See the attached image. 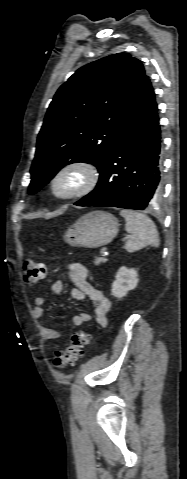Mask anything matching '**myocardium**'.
<instances>
[{"label":"myocardium","instance_id":"myocardium-1","mask_svg":"<svg viewBox=\"0 0 187 479\" xmlns=\"http://www.w3.org/2000/svg\"><path fill=\"white\" fill-rule=\"evenodd\" d=\"M72 177L73 184L69 189L61 191V183ZM99 181L97 167L86 160H72L62 165L48 183L50 195L57 200L69 201L83 197L95 189Z\"/></svg>","mask_w":187,"mask_h":479}]
</instances>
